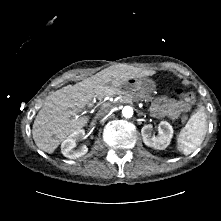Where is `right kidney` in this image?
Listing matches in <instances>:
<instances>
[{
    "mask_svg": "<svg viewBox=\"0 0 221 221\" xmlns=\"http://www.w3.org/2000/svg\"><path fill=\"white\" fill-rule=\"evenodd\" d=\"M85 135V131L83 129L74 131L70 134L66 140H64L61 144V152L62 154L69 159H76L88 152V148L86 145L81 146L78 149L76 148V142L83 139Z\"/></svg>",
    "mask_w": 221,
    "mask_h": 221,
    "instance_id": "1",
    "label": "right kidney"
}]
</instances>
